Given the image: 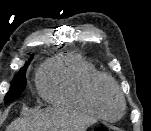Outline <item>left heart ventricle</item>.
Returning <instances> with one entry per match:
<instances>
[{
	"instance_id": "obj_1",
	"label": "left heart ventricle",
	"mask_w": 151,
	"mask_h": 131,
	"mask_svg": "<svg viewBox=\"0 0 151 131\" xmlns=\"http://www.w3.org/2000/svg\"><path fill=\"white\" fill-rule=\"evenodd\" d=\"M102 105L105 112L111 116H117L120 110V102L117 96L112 92H107L102 100Z\"/></svg>"
}]
</instances>
